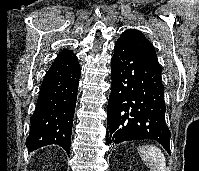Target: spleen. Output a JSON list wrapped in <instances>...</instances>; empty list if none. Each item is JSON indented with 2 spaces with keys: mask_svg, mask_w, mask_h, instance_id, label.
<instances>
[{
  "mask_svg": "<svg viewBox=\"0 0 199 171\" xmlns=\"http://www.w3.org/2000/svg\"><path fill=\"white\" fill-rule=\"evenodd\" d=\"M138 153L150 171H166V159L159 148L144 145L138 148Z\"/></svg>",
  "mask_w": 199,
  "mask_h": 171,
  "instance_id": "1",
  "label": "spleen"
}]
</instances>
